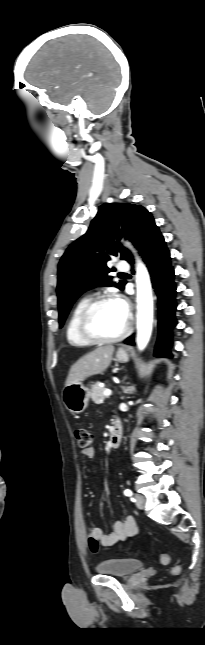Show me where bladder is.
<instances>
[{
    "instance_id": "1",
    "label": "bladder",
    "mask_w": 205,
    "mask_h": 645,
    "mask_svg": "<svg viewBox=\"0 0 205 645\" xmlns=\"http://www.w3.org/2000/svg\"><path fill=\"white\" fill-rule=\"evenodd\" d=\"M141 560L134 558H109L96 565V571L101 574L118 577L131 576L143 568Z\"/></svg>"
}]
</instances>
